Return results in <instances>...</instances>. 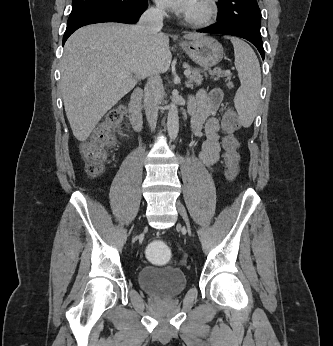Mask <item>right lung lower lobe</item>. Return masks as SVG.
<instances>
[{
	"label": "right lung lower lobe",
	"instance_id": "right-lung-lower-lobe-1",
	"mask_svg": "<svg viewBox=\"0 0 333 346\" xmlns=\"http://www.w3.org/2000/svg\"><path fill=\"white\" fill-rule=\"evenodd\" d=\"M147 7V0H137L132 7L126 10L114 7H95L81 10L69 16L67 28L63 36V44L74 31L85 25L103 22L134 24Z\"/></svg>",
	"mask_w": 333,
	"mask_h": 346
}]
</instances>
